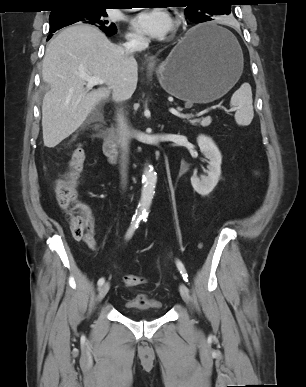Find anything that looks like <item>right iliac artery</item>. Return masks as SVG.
Instances as JSON below:
<instances>
[{"label":"right iliac artery","mask_w":306,"mask_h":387,"mask_svg":"<svg viewBox=\"0 0 306 387\" xmlns=\"http://www.w3.org/2000/svg\"><path fill=\"white\" fill-rule=\"evenodd\" d=\"M141 218H133L132 222H131V225L126 233V238L129 239L131 238V236L133 235L134 231L138 228V225H139V222H140ZM105 282V279L104 278H100L98 280V286H101L103 285V283Z\"/></svg>","instance_id":"82829eb1"}]
</instances>
